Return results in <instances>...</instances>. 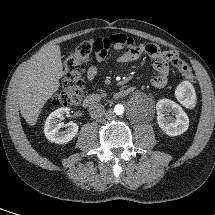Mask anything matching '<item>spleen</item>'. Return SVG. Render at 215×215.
Listing matches in <instances>:
<instances>
[{"label":"spleen","instance_id":"spleen-1","mask_svg":"<svg viewBox=\"0 0 215 215\" xmlns=\"http://www.w3.org/2000/svg\"><path fill=\"white\" fill-rule=\"evenodd\" d=\"M190 91L192 90V87L189 83L185 82L182 85L179 86L177 93L181 94L184 93L185 91ZM186 104L191 105L194 103V96L190 95L187 99H186Z\"/></svg>","mask_w":215,"mask_h":215}]
</instances>
